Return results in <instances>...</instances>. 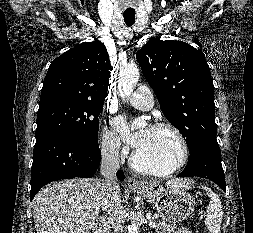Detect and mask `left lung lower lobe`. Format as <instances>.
I'll list each match as a JSON object with an SVG mask.
<instances>
[{"label":"left lung lower lobe","instance_id":"obj_1","mask_svg":"<svg viewBox=\"0 0 253 233\" xmlns=\"http://www.w3.org/2000/svg\"><path fill=\"white\" fill-rule=\"evenodd\" d=\"M191 176L210 179L218 184L223 191H226L221 152L218 144L202 142L190 152L187 166L177 177Z\"/></svg>","mask_w":253,"mask_h":233}]
</instances>
